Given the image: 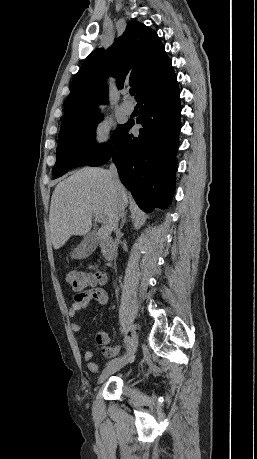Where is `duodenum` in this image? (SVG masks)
I'll return each instance as SVG.
<instances>
[{
	"instance_id": "duodenum-1",
	"label": "duodenum",
	"mask_w": 257,
	"mask_h": 459,
	"mask_svg": "<svg viewBox=\"0 0 257 459\" xmlns=\"http://www.w3.org/2000/svg\"><path fill=\"white\" fill-rule=\"evenodd\" d=\"M99 246L105 259L109 260L114 252V240L107 235H103L99 239Z\"/></svg>"
}]
</instances>
